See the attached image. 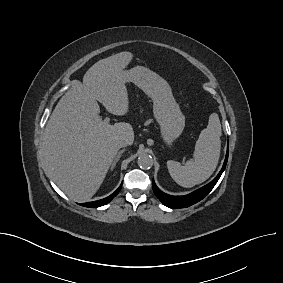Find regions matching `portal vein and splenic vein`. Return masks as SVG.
Returning a JSON list of instances; mask_svg holds the SVG:
<instances>
[{
  "label": "portal vein and splenic vein",
  "instance_id": "18ae733b",
  "mask_svg": "<svg viewBox=\"0 0 283 283\" xmlns=\"http://www.w3.org/2000/svg\"><path fill=\"white\" fill-rule=\"evenodd\" d=\"M104 122H105L106 124H108V123L110 122V118H109V117H106V118L104 119Z\"/></svg>",
  "mask_w": 283,
  "mask_h": 283
}]
</instances>
